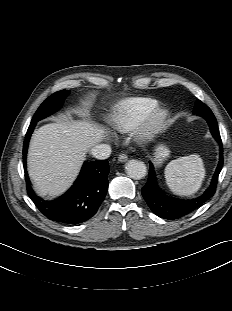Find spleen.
<instances>
[{
	"label": "spleen",
	"instance_id": "obj_1",
	"mask_svg": "<svg viewBox=\"0 0 232 311\" xmlns=\"http://www.w3.org/2000/svg\"><path fill=\"white\" fill-rule=\"evenodd\" d=\"M205 177L203 160L193 154L172 160L165 168V179L171 191L180 196H191L202 185Z\"/></svg>",
	"mask_w": 232,
	"mask_h": 311
}]
</instances>
